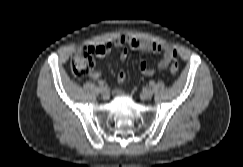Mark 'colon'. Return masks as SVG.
<instances>
[{
	"label": "colon",
	"mask_w": 243,
	"mask_h": 167,
	"mask_svg": "<svg viewBox=\"0 0 243 167\" xmlns=\"http://www.w3.org/2000/svg\"><path fill=\"white\" fill-rule=\"evenodd\" d=\"M94 54L93 47H80L73 52L71 68L76 77L82 78L92 73L94 68ZM178 71V63H172L170 66L171 74L176 75Z\"/></svg>",
	"instance_id": "5ec220e1"
}]
</instances>
